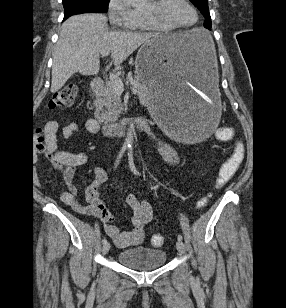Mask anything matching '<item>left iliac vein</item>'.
I'll list each match as a JSON object with an SVG mask.
<instances>
[{
  "label": "left iliac vein",
  "instance_id": "4c4485c4",
  "mask_svg": "<svg viewBox=\"0 0 286 308\" xmlns=\"http://www.w3.org/2000/svg\"><path fill=\"white\" fill-rule=\"evenodd\" d=\"M176 247H177V250L179 251V253L181 254H184L185 253V244L178 240L177 243H176Z\"/></svg>",
  "mask_w": 286,
  "mask_h": 308
}]
</instances>
